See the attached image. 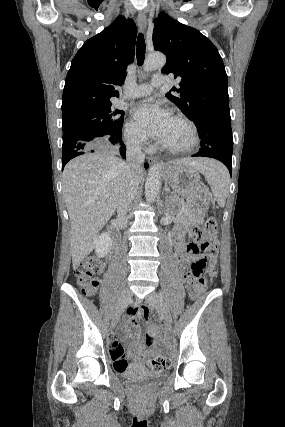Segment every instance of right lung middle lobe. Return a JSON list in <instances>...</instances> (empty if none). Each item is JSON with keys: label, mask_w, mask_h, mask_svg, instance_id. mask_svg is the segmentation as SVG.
Returning a JSON list of instances; mask_svg holds the SVG:
<instances>
[{"label": "right lung middle lobe", "mask_w": 285, "mask_h": 427, "mask_svg": "<svg viewBox=\"0 0 285 427\" xmlns=\"http://www.w3.org/2000/svg\"><path fill=\"white\" fill-rule=\"evenodd\" d=\"M111 104L83 110L62 117L63 151L75 148L79 142L89 146L115 145L121 140L124 111Z\"/></svg>", "instance_id": "dd1d6c3e"}]
</instances>
